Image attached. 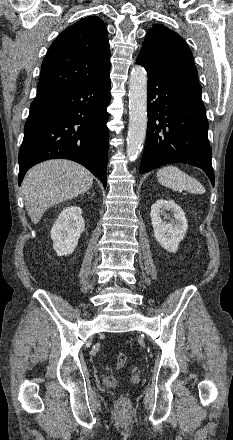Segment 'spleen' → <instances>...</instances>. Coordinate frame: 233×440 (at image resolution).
<instances>
[{
    "label": "spleen",
    "instance_id": "spleen-1",
    "mask_svg": "<svg viewBox=\"0 0 233 440\" xmlns=\"http://www.w3.org/2000/svg\"><path fill=\"white\" fill-rule=\"evenodd\" d=\"M157 178L161 185L169 187L174 191L186 190L194 194L205 193L204 186L198 180L173 165L159 169Z\"/></svg>",
    "mask_w": 233,
    "mask_h": 440
}]
</instances>
